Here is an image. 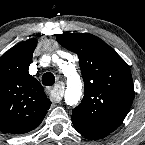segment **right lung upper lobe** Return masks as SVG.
Wrapping results in <instances>:
<instances>
[{
	"mask_svg": "<svg viewBox=\"0 0 145 145\" xmlns=\"http://www.w3.org/2000/svg\"><path fill=\"white\" fill-rule=\"evenodd\" d=\"M37 40L29 39L0 58V131L23 134L40 125L51 102L28 68Z\"/></svg>",
	"mask_w": 145,
	"mask_h": 145,
	"instance_id": "cb5924a9",
	"label": "right lung upper lobe"
}]
</instances>
